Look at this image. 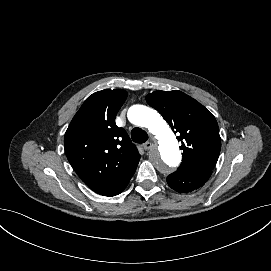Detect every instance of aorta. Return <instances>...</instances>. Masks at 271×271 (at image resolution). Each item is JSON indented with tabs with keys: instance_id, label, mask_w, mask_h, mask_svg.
<instances>
[{
	"instance_id": "aorta-1",
	"label": "aorta",
	"mask_w": 271,
	"mask_h": 271,
	"mask_svg": "<svg viewBox=\"0 0 271 271\" xmlns=\"http://www.w3.org/2000/svg\"><path fill=\"white\" fill-rule=\"evenodd\" d=\"M131 123L147 128L158 139V146L151 152V161L161 173H169L181 162L178 143L169 126L154 109L134 105L128 111Z\"/></svg>"
}]
</instances>
